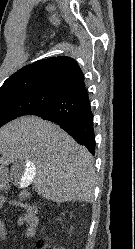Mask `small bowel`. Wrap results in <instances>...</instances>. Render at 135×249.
Returning <instances> with one entry per match:
<instances>
[{"label":"small bowel","instance_id":"small-bowel-1","mask_svg":"<svg viewBox=\"0 0 135 249\" xmlns=\"http://www.w3.org/2000/svg\"><path fill=\"white\" fill-rule=\"evenodd\" d=\"M5 198L0 195V209L3 208ZM16 206H20L25 210V214L18 218L17 224L19 226H26V236L32 238L36 235V230L39 224L38 208L35 205L25 204L20 201L12 202ZM0 239L6 241L7 231L4 222L0 218Z\"/></svg>","mask_w":135,"mask_h":249}]
</instances>
